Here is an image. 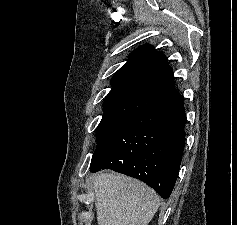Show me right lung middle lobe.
I'll return each mask as SVG.
<instances>
[{
  "instance_id": "obj_1",
  "label": "right lung middle lobe",
  "mask_w": 237,
  "mask_h": 225,
  "mask_svg": "<svg viewBox=\"0 0 237 225\" xmlns=\"http://www.w3.org/2000/svg\"><path fill=\"white\" fill-rule=\"evenodd\" d=\"M124 124L116 120H103L98 126L97 146L115 129Z\"/></svg>"
}]
</instances>
